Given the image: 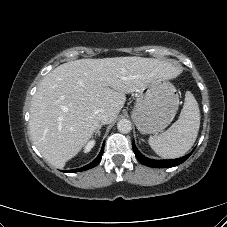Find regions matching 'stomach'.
<instances>
[{
  "label": "stomach",
  "instance_id": "obj_1",
  "mask_svg": "<svg viewBox=\"0 0 227 227\" xmlns=\"http://www.w3.org/2000/svg\"><path fill=\"white\" fill-rule=\"evenodd\" d=\"M179 106L176 88L166 79H154L137 90L132 119L142 134H155L174 119Z\"/></svg>",
  "mask_w": 227,
  "mask_h": 227
}]
</instances>
